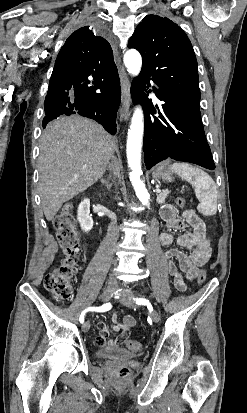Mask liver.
Segmentation results:
<instances>
[{
	"instance_id": "6515ba94",
	"label": "liver",
	"mask_w": 247,
	"mask_h": 413,
	"mask_svg": "<svg viewBox=\"0 0 247 413\" xmlns=\"http://www.w3.org/2000/svg\"><path fill=\"white\" fill-rule=\"evenodd\" d=\"M115 140L101 124L79 114L48 122L40 136L39 194L47 221L63 202L86 190L104 174Z\"/></svg>"
}]
</instances>
